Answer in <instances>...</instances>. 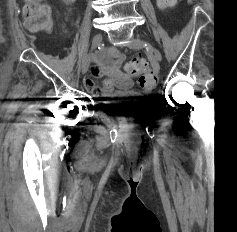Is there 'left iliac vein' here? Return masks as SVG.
Segmentation results:
<instances>
[{
	"label": "left iliac vein",
	"instance_id": "4c4485c4",
	"mask_svg": "<svg viewBox=\"0 0 237 232\" xmlns=\"http://www.w3.org/2000/svg\"><path fill=\"white\" fill-rule=\"evenodd\" d=\"M128 47L130 49L138 50L144 47V42L141 40H133L129 43ZM152 52L154 53L155 59L160 62L162 60V55L159 50L152 47Z\"/></svg>",
	"mask_w": 237,
	"mask_h": 232
}]
</instances>
